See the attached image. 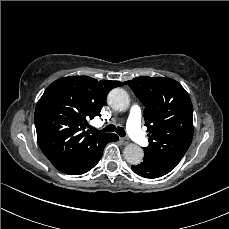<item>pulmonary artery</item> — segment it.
<instances>
[{
    "label": "pulmonary artery",
    "instance_id": "1",
    "mask_svg": "<svg viewBox=\"0 0 229 229\" xmlns=\"http://www.w3.org/2000/svg\"><path fill=\"white\" fill-rule=\"evenodd\" d=\"M127 121L126 131L139 145L146 147L149 145L150 140L142 132V108L138 104L130 105L126 110ZM102 123H100L101 125Z\"/></svg>",
    "mask_w": 229,
    "mask_h": 229
}]
</instances>
